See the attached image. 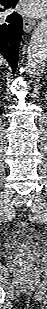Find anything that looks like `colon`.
<instances>
[{
  "mask_svg": "<svg viewBox=\"0 0 47 309\" xmlns=\"http://www.w3.org/2000/svg\"><path fill=\"white\" fill-rule=\"evenodd\" d=\"M25 224L23 222L19 223L20 227H23Z\"/></svg>",
  "mask_w": 47,
  "mask_h": 309,
  "instance_id": "colon-1",
  "label": "colon"
}]
</instances>
